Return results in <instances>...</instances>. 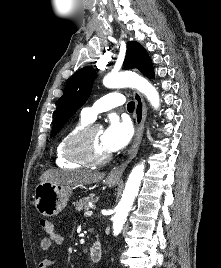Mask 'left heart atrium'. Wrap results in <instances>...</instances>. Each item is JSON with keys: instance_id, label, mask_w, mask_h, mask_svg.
I'll list each match as a JSON object with an SVG mask.
<instances>
[{"instance_id": "39dd6f15", "label": "left heart atrium", "mask_w": 221, "mask_h": 268, "mask_svg": "<svg viewBox=\"0 0 221 268\" xmlns=\"http://www.w3.org/2000/svg\"><path fill=\"white\" fill-rule=\"evenodd\" d=\"M131 136L130 123L126 120L121 121L118 118H112L103 133L104 144L109 153L124 148L129 143Z\"/></svg>"}]
</instances>
